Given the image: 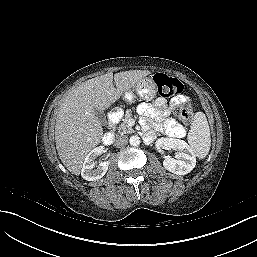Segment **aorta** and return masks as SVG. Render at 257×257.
<instances>
[{
    "instance_id": "obj_1",
    "label": "aorta",
    "mask_w": 257,
    "mask_h": 257,
    "mask_svg": "<svg viewBox=\"0 0 257 257\" xmlns=\"http://www.w3.org/2000/svg\"><path fill=\"white\" fill-rule=\"evenodd\" d=\"M140 137L139 136H137V135H133V136H131L130 137V139H129V143H130V145H132V146H138L139 144H140Z\"/></svg>"
}]
</instances>
